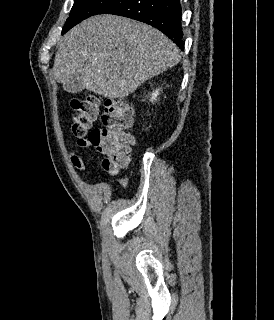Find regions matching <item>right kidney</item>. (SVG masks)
Masks as SVG:
<instances>
[{
	"mask_svg": "<svg viewBox=\"0 0 274 320\" xmlns=\"http://www.w3.org/2000/svg\"><path fill=\"white\" fill-rule=\"evenodd\" d=\"M157 96H159V92H158V90H155V92H153V94H151V102H154V100H156Z\"/></svg>",
	"mask_w": 274,
	"mask_h": 320,
	"instance_id": "1",
	"label": "right kidney"
}]
</instances>
